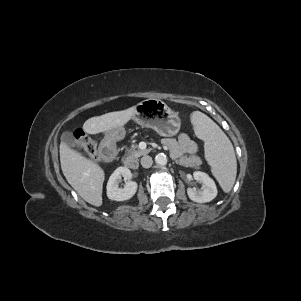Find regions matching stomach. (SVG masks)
<instances>
[{
  "label": "stomach",
  "instance_id": "stomach-1",
  "mask_svg": "<svg viewBox=\"0 0 301 301\" xmlns=\"http://www.w3.org/2000/svg\"><path fill=\"white\" fill-rule=\"evenodd\" d=\"M135 109L133 119L141 126L152 128L161 136L171 137L180 131L181 119L178 113L160 100H144L137 104ZM121 134V129L117 132L110 131L107 139L115 140Z\"/></svg>",
  "mask_w": 301,
  "mask_h": 301
}]
</instances>
